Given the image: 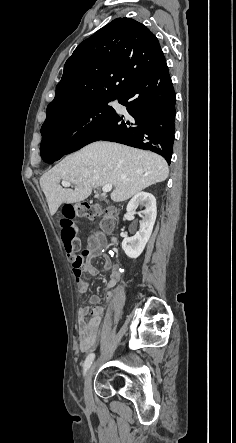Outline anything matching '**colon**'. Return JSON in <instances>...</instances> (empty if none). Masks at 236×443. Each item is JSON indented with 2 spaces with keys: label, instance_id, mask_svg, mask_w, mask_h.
Here are the masks:
<instances>
[{
  "label": "colon",
  "instance_id": "5ec220e1",
  "mask_svg": "<svg viewBox=\"0 0 236 443\" xmlns=\"http://www.w3.org/2000/svg\"><path fill=\"white\" fill-rule=\"evenodd\" d=\"M101 216V225L104 229H110L113 224V214L110 210L88 203L65 204L59 212V223L62 227V237L67 256L72 262L74 269L80 270L83 266L84 257L88 255L87 249L81 247L80 230L75 224L77 217Z\"/></svg>",
  "mask_w": 236,
  "mask_h": 443
}]
</instances>
